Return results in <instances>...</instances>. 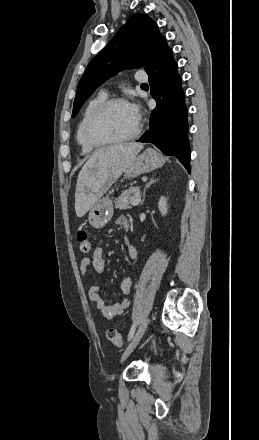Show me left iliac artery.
<instances>
[{"instance_id": "left-iliac-artery-1", "label": "left iliac artery", "mask_w": 259, "mask_h": 440, "mask_svg": "<svg viewBox=\"0 0 259 440\" xmlns=\"http://www.w3.org/2000/svg\"><path fill=\"white\" fill-rule=\"evenodd\" d=\"M136 324L134 323L133 326L130 329L129 335H128V341H130L135 333Z\"/></svg>"}]
</instances>
